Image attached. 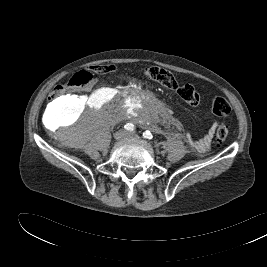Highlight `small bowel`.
Wrapping results in <instances>:
<instances>
[{
  "label": "small bowel",
  "instance_id": "1",
  "mask_svg": "<svg viewBox=\"0 0 267 267\" xmlns=\"http://www.w3.org/2000/svg\"><path fill=\"white\" fill-rule=\"evenodd\" d=\"M215 128H216V125L213 124L202 138H200L199 140L190 141L196 151L200 153H204L209 149L214 132H215Z\"/></svg>",
  "mask_w": 267,
  "mask_h": 267
}]
</instances>
